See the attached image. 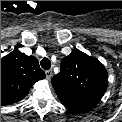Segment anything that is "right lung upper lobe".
Listing matches in <instances>:
<instances>
[{
	"mask_svg": "<svg viewBox=\"0 0 122 122\" xmlns=\"http://www.w3.org/2000/svg\"><path fill=\"white\" fill-rule=\"evenodd\" d=\"M45 77L37 58L14 49L1 58V103L6 105L22 100L32 85Z\"/></svg>",
	"mask_w": 122,
	"mask_h": 122,
	"instance_id": "right-lung-upper-lobe-1",
	"label": "right lung upper lobe"
}]
</instances>
